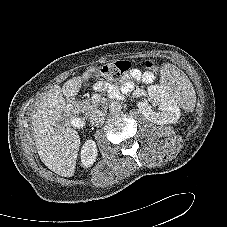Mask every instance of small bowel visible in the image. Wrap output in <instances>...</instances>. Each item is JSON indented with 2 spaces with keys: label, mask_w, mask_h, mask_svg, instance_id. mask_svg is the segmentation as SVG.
<instances>
[{
  "label": "small bowel",
  "mask_w": 227,
  "mask_h": 227,
  "mask_svg": "<svg viewBox=\"0 0 227 227\" xmlns=\"http://www.w3.org/2000/svg\"><path fill=\"white\" fill-rule=\"evenodd\" d=\"M132 76L137 79V80H143V81H151L153 77L147 79L145 78L144 75H141L140 71L139 70H133L132 72ZM105 85L103 83H98L97 84V88L102 90L104 89Z\"/></svg>",
  "instance_id": "small-bowel-1"
}]
</instances>
